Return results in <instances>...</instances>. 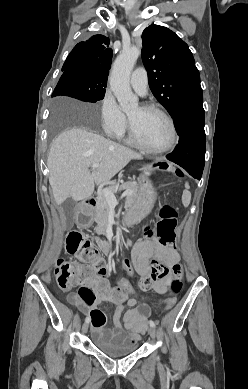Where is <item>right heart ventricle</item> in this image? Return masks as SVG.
Returning <instances> with one entry per match:
<instances>
[{"mask_svg": "<svg viewBox=\"0 0 248 389\" xmlns=\"http://www.w3.org/2000/svg\"><path fill=\"white\" fill-rule=\"evenodd\" d=\"M120 139H124V141L129 144V145H134V143L131 141L130 137L126 133V128L125 130L118 136Z\"/></svg>", "mask_w": 248, "mask_h": 389, "instance_id": "right-heart-ventricle-1", "label": "right heart ventricle"}]
</instances>
